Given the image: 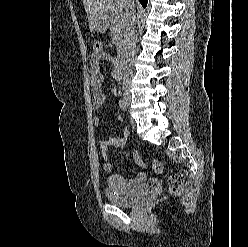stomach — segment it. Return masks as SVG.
<instances>
[{
  "label": "stomach",
  "mask_w": 248,
  "mask_h": 247,
  "mask_svg": "<svg viewBox=\"0 0 248 247\" xmlns=\"http://www.w3.org/2000/svg\"><path fill=\"white\" fill-rule=\"evenodd\" d=\"M108 26H109L108 17L106 15H104L97 22V24L95 26V30L97 32L104 33L108 29Z\"/></svg>",
  "instance_id": "stomach-1"
}]
</instances>
